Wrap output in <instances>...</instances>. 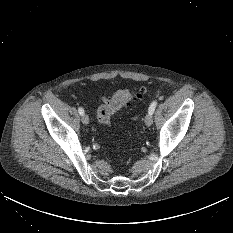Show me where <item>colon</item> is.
<instances>
[{"label":"colon","instance_id":"obj_1","mask_svg":"<svg viewBox=\"0 0 233 233\" xmlns=\"http://www.w3.org/2000/svg\"><path fill=\"white\" fill-rule=\"evenodd\" d=\"M145 92L144 88H140L136 93L124 89L109 98H102L97 108L98 121L104 126H110L111 117L115 113L128 106L135 98H142Z\"/></svg>","mask_w":233,"mask_h":233}]
</instances>
